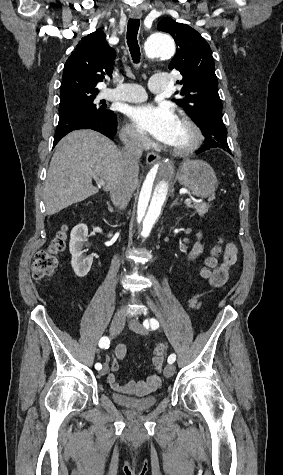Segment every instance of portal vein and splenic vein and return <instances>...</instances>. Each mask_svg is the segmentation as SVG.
I'll list each match as a JSON object with an SVG mask.
<instances>
[{"label": "portal vein and splenic vein", "instance_id": "18ae733b", "mask_svg": "<svg viewBox=\"0 0 283 475\" xmlns=\"http://www.w3.org/2000/svg\"><path fill=\"white\" fill-rule=\"evenodd\" d=\"M95 180H98V178H96V176H94ZM105 182H101V184H99V186H104ZM184 204H186V206H190V204H192L190 198H187V200H185Z\"/></svg>", "mask_w": 283, "mask_h": 475}]
</instances>
